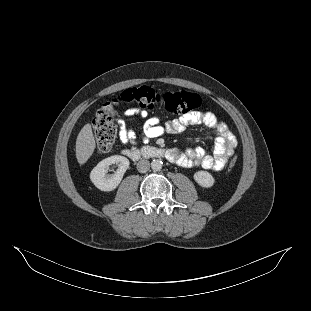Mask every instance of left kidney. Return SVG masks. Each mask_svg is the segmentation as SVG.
<instances>
[{"instance_id": "left-kidney-1", "label": "left kidney", "mask_w": 311, "mask_h": 311, "mask_svg": "<svg viewBox=\"0 0 311 311\" xmlns=\"http://www.w3.org/2000/svg\"><path fill=\"white\" fill-rule=\"evenodd\" d=\"M195 179L202 186L208 187L213 184V177L205 171H200L195 174Z\"/></svg>"}]
</instances>
